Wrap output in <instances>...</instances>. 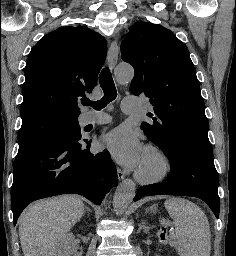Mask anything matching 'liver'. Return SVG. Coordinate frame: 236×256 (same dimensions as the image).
<instances>
[{
	"label": "liver",
	"instance_id": "obj_1",
	"mask_svg": "<svg viewBox=\"0 0 236 256\" xmlns=\"http://www.w3.org/2000/svg\"><path fill=\"white\" fill-rule=\"evenodd\" d=\"M84 210L77 196H59L28 206L19 218L24 256H62L66 234L81 220Z\"/></svg>",
	"mask_w": 236,
	"mask_h": 256
}]
</instances>
